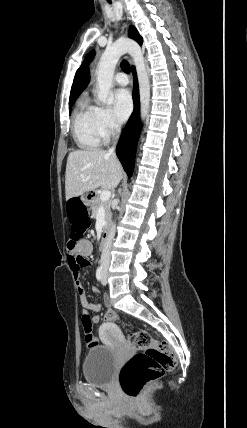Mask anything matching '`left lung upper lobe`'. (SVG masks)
I'll return each mask as SVG.
<instances>
[{"label":"left lung upper lobe","instance_id":"5c2ea615","mask_svg":"<svg viewBox=\"0 0 247 428\" xmlns=\"http://www.w3.org/2000/svg\"><path fill=\"white\" fill-rule=\"evenodd\" d=\"M94 51H91L90 53H89V55L86 57V59H85V63L86 62H88V61H91L92 60V58L94 57Z\"/></svg>","mask_w":247,"mask_h":428}]
</instances>
